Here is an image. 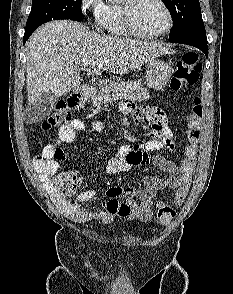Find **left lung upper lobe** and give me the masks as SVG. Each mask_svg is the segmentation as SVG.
I'll return each instance as SVG.
<instances>
[{
    "label": "left lung upper lobe",
    "mask_w": 233,
    "mask_h": 294,
    "mask_svg": "<svg viewBox=\"0 0 233 294\" xmlns=\"http://www.w3.org/2000/svg\"><path fill=\"white\" fill-rule=\"evenodd\" d=\"M170 11L174 28L171 42L187 38H206L199 0H162Z\"/></svg>",
    "instance_id": "1"
}]
</instances>
